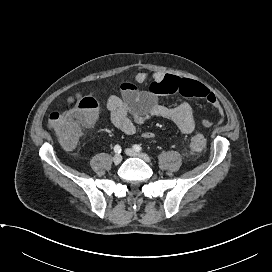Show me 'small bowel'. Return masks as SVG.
<instances>
[{
    "mask_svg": "<svg viewBox=\"0 0 272 272\" xmlns=\"http://www.w3.org/2000/svg\"><path fill=\"white\" fill-rule=\"evenodd\" d=\"M147 83V90H139L138 85ZM121 96L112 95L106 103V111L109 113L115 127L127 135L136 131V126L143 124L150 118L157 117L171 121L183 134H190L195 129L193 110L188 103H181L169 107L159 102V95L181 94L185 97H198L206 100L223 120L224 111L216 96L203 84L178 76L159 72H139L131 81H125L120 85ZM97 118L95 112L93 123ZM205 126L213 123L205 120ZM146 139L154 137L153 133L143 134Z\"/></svg>",
    "mask_w": 272,
    "mask_h": 272,
    "instance_id": "1",
    "label": "small bowel"
}]
</instances>
